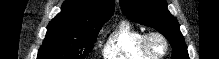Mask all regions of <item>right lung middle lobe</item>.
<instances>
[{
	"mask_svg": "<svg viewBox=\"0 0 219 59\" xmlns=\"http://www.w3.org/2000/svg\"><path fill=\"white\" fill-rule=\"evenodd\" d=\"M102 26L50 22L37 59H85Z\"/></svg>",
	"mask_w": 219,
	"mask_h": 59,
	"instance_id": "1",
	"label": "right lung middle lobe"
}]
</instances>
